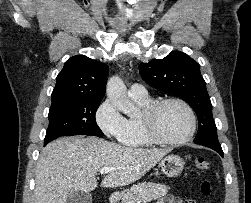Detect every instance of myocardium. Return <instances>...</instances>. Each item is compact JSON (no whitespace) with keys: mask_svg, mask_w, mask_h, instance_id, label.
Listing matches in <instances>:
<instances>
[{"mask_svg":"<svg viewBox=\"0 0 251 203\" xmlns=\"http://www.w3.org/2000/svg\"><path fill=\"white\" fill-rule=\"evenodd\" d=\"M168 103H177L185 108L190 117V129L188 133L177 140H169L163 138L157 131L156 120L160 109ZM141 124L143 132L147 139L154 144L164 145V146H179L190 141L194 136L197 129V117L194 109L185 100L178 97H168L155 100L146 106L141 115Z\"/></svg>","mask_w":251,"mask_h":203,"instance_id":"1","label":"myocardium"}]
</instances>
